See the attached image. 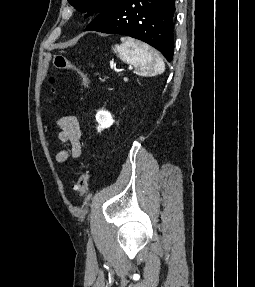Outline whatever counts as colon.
Returning a JSON list of instances; mask_svg holds the SVG:
<instances>
[{
    "instance_id": "colon-1",
    "label": "colon",
    "mask_w": 255,
    "mask_h": 287,
    "mask_svg": "<svg viewBox=\"0 0 255 287\" xmlns=\"http://www.w3.org/2000/svg\"><path fill=\"white\" fill-rule=\"evenodd\" d=\"M53 65L56 69L59 70H71V71H75L76 73L79 74V76L82 79V83L84 85L85 88L89 87L90 84V80L89 77L87 75V73H85L82 69H80L79 67H77L76 65H74L68 58H66L65 56L62 55H58L55 56L54 60H53ZM49 82L52 86V92H55V88H54V84H55V78L51 77L49 79ZM89 172L84 171L78 181H77V185H76V190L78 192V194L80 196H84L88 190H89Z\"/></svg>"
}]
</instances>
